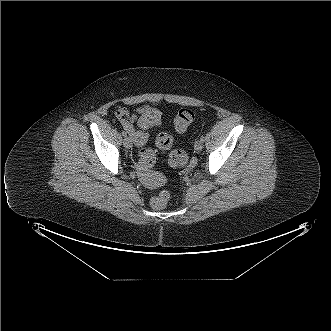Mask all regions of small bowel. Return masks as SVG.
<instances>
[{"label": "small bowel", "mask_w": 331, "mask_h": 331, "mask_svg": "<svg viewBox=\"0 0 331 331\" xmlns=\"http://www.w3.org/2000/svg\"><path fill=\"white\" fill-rule=\"evenodd\" d=\"M149 108L152 107L148 105L141 106L136 113H130L126 107H120L115 112L121 127L130 134L133 143L138 147H143L148 140V135L141 133L140 114ZM140 161L146 166L151 165L154 162L153 151L150 149L141 150Z\"/></svg>", "instance_id": "1"}]
</instances>
